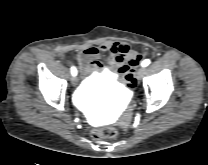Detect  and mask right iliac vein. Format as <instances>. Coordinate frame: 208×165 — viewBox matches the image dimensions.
I'll return each mask as SVG.
<instances>
[{
    "label": "right iliac vein",
    "mask_w": 208,
    "mask_h": 165,
    "mask_svg": "<svg viewBox=\"0 0 208 165\" xmlns=\"http://www.w3.org/2000/svg\"><path fill=\"white\" fill-rule=\"evenodd\" d=\"M77 81H78L77 77L74 76V77L71 78V83H72L73 86L77 85Z\"/></svg>",
    "instance_id": "obj_1"
}]
</instances>
